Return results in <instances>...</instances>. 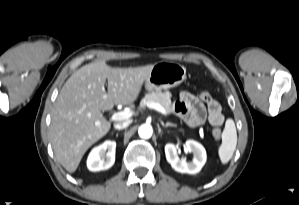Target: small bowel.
<instances>
[{
	"label": "small bowel",
	"instance_id": "1",
	"mask_svg": "<svg viewBox=\"0 0 299 205\" xmlns=\"http://www.w3.org/2000/svg\"><path fill=\"white\" fill-rule=\"evenodd\" d=\"M174 109L190 126L203 124L207 117L214 126L221 125L224 120L221 106L216 100H209L204 104L189 92L180 94L179 101L175 104Z\"/></svg>",
	"mask_w": 299,
	"mask_h": 205
}]
</instances>
